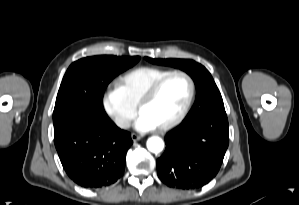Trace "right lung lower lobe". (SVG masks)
I'll list each match as a JSON object with an SVG mask.
<instances>
[{"label": "right lung lower lobe", "instance_id": "1", "mask_svg": "<svg viewBox=\"0 0 299 205\" xmlns=\"http://www.w3.org/2000/svg\"><path fill=\"white\" fill-rule=\"evenodd\" d=\"M54 142L68 176L85 188L114 184L124 173L130 133L108 116L84 113L54 130Z\"/></svg>", "mask_w": 299, "mask_h": 205}]
</instances>
